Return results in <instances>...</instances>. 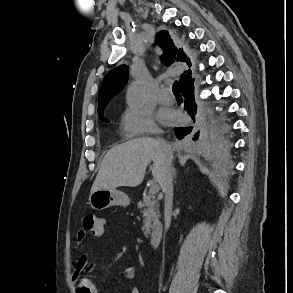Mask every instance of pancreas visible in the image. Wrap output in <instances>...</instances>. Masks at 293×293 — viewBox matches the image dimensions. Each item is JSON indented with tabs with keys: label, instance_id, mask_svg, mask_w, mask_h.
Wrapping results in <instances>:
<instances>
[{
	"label": "pancreas",
	"instance_id": "pancreas-1",
	"mask_svg": "<svg viewBox=\"0 0 293 293\" xmlns=\"http://www.w3.org/2000/svg\"><path fill=\"white\" fill-rule=\"evenodd\" d=\"M138 208L143 213V233L145 236L150 234L153 228L152 222L159 218V203L153 195H145L143 201L138 202Z\"/></svg>",
	"mask_w": 293,
	"mask_h": 293
}]
</instances>
